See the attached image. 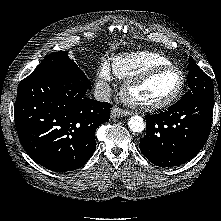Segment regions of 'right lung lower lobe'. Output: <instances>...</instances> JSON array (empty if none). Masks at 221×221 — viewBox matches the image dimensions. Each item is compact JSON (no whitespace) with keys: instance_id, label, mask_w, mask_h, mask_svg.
I'll use <instances>...</instances> for the list:
<instances>
[{"instance_id":"98d812e1","label":"right lung lower lobe","mask_w":221,"mask_h":221,"mask_svg":"<svg viewBox=\"0 0 221 221\" xmlns=\"http://www.w3.org/2000/svg\"><path fill=\"white\" fill-rule=\"evenodd\" d=\"M91 83L66 74L24 79L14 106L19 140L27 154L56 172L82 167L96 149L95 131L110 118L107 102L87 98Z\"/></svg>"}]
</instances>
